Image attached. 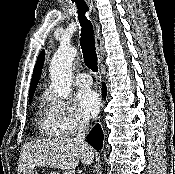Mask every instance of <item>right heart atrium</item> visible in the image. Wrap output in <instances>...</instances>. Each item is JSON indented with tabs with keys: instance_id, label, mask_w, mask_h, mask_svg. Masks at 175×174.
<instances>
[{
	"instance_id": "d8ad5b80",
	"label": "right heart atrium",
	"mask_w": 175,
	"mask_h": 174,
	"mask_svg": "<svg viewBox=\"0 0 175 174\" xmlns=\"http://www.w3.org/2000/svg\"><path fill=\"white\" fill-rule=\"evenodd\" d=\"M48 101L51 124L61 136H72L86 127V121L68 101L53 95Z\"/></svg>"
}]
</instances>
